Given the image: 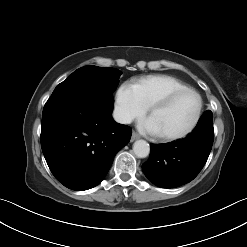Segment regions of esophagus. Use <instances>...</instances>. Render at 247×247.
Instances as JSON below:
<instances>
[{
  "instance_id": "esophagus-1",
  "label": "esophagus",
  "mask_w": 247,
  "mask_h": 247,
  "mask_svg": "<svg viewBox=\"0 0 247 247\" xmlns=\"http://www.w3.org/2000/svg\"><path fill=\"white\" fill-rule=\"evenodd\" d=\"M139 138H140V136L134 131V132L132 133L131 141H135V140H137V139H139Z\"/></svg>"
}]
</instances>
